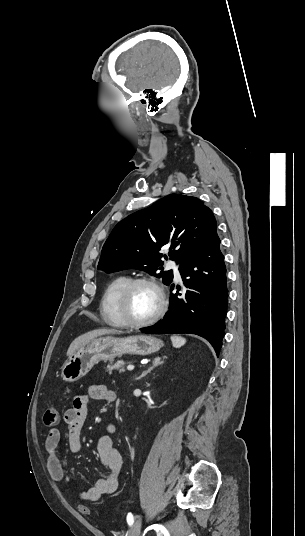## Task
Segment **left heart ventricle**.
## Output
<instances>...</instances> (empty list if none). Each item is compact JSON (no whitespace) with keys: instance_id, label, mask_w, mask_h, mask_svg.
I'll return each instance as SVG.
<instances>
[{"instance_id":"left-heart-ventricle-1","label":"left heart ventricle","mask_w":305,"mask_h":536,"mask_svg":"<svg viewBox=\"0 0 305 536\" xmlns=\"http://www.w3.org/2000/svg\"><path fill=\"white\" fill-rule=\"evenodd\" d=\"M160 304L155 288L148 284L136 286L127 301V314L130 320H142L157 311Z\"/></svg>"}]
</instances>
